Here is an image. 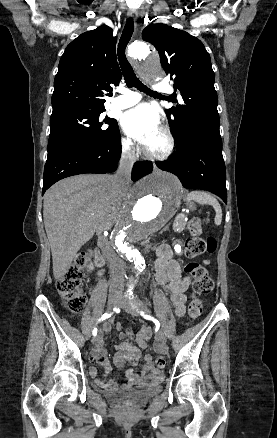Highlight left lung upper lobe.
Segmentation results:
<instances>
[{
    "mask_svg": "<svg viewBox=\"0 0 277 438\" xmlns=\"http://www.w3.org/2000/svg\"><path fill=\"white\" fill-rule=\"evenodd\" d=\"M142 39L156 47L163 69L181 92L184 104L167 109L166 115L177 144H182L203 114L218 115L209 53L196 37L162 23L148 25Z\"/></svg>",
    "mask_w": 277,
    "mask_h": 438,
    "instance_id": "1",
    "label": "left lung upper lobe"
}]
</instances>
